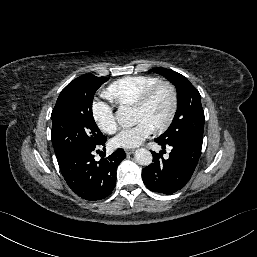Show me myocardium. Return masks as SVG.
<instances>
[{"mask_svg":"<svg viewBox=\"0 0 257 257\" xmlns=\"http://www.w3.org/2000/svg\"><path fill=\"white\" fill-rule=\"evenodd\" d=\"M162 88H165L169 91L171 97V104L168 116L164 123L154 129V131L157 133H162L166 131L174 121L179 103L178 92L176 87L169 81H158L157 83L149 87L145 92H143L138 101L132 106L135 110L144 109L149 104L153 96Z\"/></svg>","mask_w":257,"mask_h":257,"instance_id":"obj_1","label":"myocardium"}]
</instances>
